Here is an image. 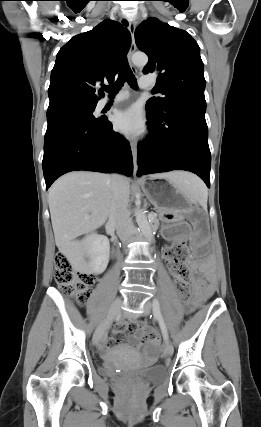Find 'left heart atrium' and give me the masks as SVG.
Segmentation results:
<instances>
[{"mask_svg": "<svg viewBox=\"0 0 261 427\" xmlns=\"http://www.w3.org/2000/svg\"><path fill=\"white\" fill-rule=\"evenodd\" d=\"M114 127L124 136L132 139L143 136L146 131L145 121L137 106L119 111L114 118Z\"/></svg>", "mask_w": 261, "mask_h": 427, "instance_id": "39dd6f15", "label": "left heart atrium"}]
</instances>
